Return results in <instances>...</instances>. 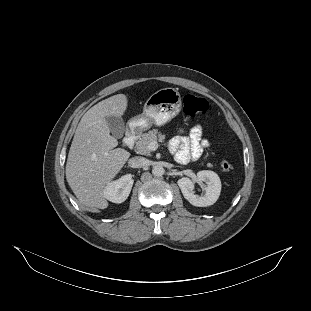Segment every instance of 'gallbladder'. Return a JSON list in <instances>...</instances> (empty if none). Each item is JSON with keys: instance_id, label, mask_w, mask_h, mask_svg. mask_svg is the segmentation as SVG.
I'll use <instances>...</instances> for the list:
<instances>
[{"instance_id": "bac80fb5", "label": "gallbladder", "mask_w": 311, "mask_h": 311, "mask_svg": "<svg viewBox=\"0 0 311 311\" xmlns=\"http://www.w3.org/2000/svg\"><path fill=\"white\" fill-rule=\"evenodd\" d=\"M107 122L111 129V133L116 139H121L125 133V124L122 119L110 117L107 118Z\"/></svg>"}]
</instances>
